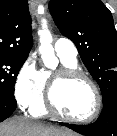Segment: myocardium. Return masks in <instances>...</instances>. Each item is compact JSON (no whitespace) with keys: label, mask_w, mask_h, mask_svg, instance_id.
<instances>
[{"label":"myocardium","mask_w":117,"mask_h":136,"mask_svg":"<svg viewBox=\"0 0 117 136\" xmlns=\"http://www.w3.org/2000/svg\"><path fill=\"white\" fill-rule=\"evenodd\" d=\"M84 80L86 81L94 91L96 105L94 112L86 118H74L71 116L66 115L58 106L55 94L56 91L65 85L66 83L73 81V80ZM103 106V99L100 92V89L96 82L86 73L77 69V68H66L62 67L58 72H56L49 80L47 92H46V107L49 112L67 122L77 123V124H86L93 122L96 120L101 111Z\"/></svg>","instance_id":"obj_1"}]
</instances>
